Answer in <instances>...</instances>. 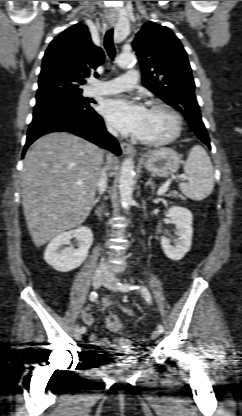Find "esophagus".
I'll list each match as a JSON object with an SVG mask.
<instances>
[{
  "label": "esophagus",
  "instance_id": "obj_1",
  "mask_svg": "<svg viewBox=\"0 0 242 416\" xmlns=\"http://www.w3.org/2000/svg\"><path fill=\"white\" fill-rule=\"evenodd\" d=\"M110 25L113 26L114 23L110 22ZM120 147L124 154L134 155L136 152L135 148L132 145L125 142H120Z\"/></svg>",
  "mask_w": 242,
  "mask_h": 416
}]
</instances>
